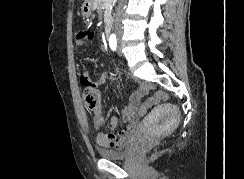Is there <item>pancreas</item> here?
<instances>
[{"label":"pancreas","mask_w":244,"mask_h":179,"mask_svg":"<svg viewBox=\"0 0 244 179\" xmlns=\"http://www.w3.org/2000/svg\"><path fill=\"white\" fill-rule=\"evenodd\" d=\"M97 4H99V6H104V8H106L107 0H98Z\"/></svg>","instance_id":"cf45deb5"}]
</instances>
